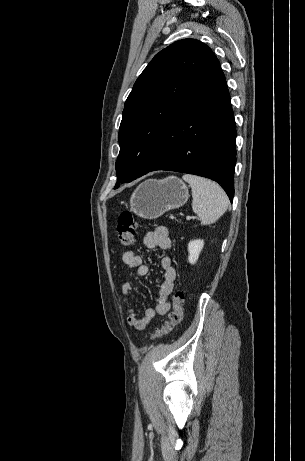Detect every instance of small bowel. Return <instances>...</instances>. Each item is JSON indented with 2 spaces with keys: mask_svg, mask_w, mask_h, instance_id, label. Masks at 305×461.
Here are the masks:
<instances>
[{
  "mask_svg": "<svg viewBox=\"0 0 305 461\" xmlns=\"http://www.w3.org/2000/svg\"><path fill=\"white\" fill-rule=\"evenodd\" d=\"M143 245L147 249H169L171 239L168 229L160 226L148 232L144 237ZM122 261L127 268L134 270L136 276L144 277L149 273V265L143 262L141 256L135 250L124 252ZM161 267L163 270V280L159 285L155 308L146 309L144 315L141 317L133 307L127 309V324L132 328L143 330L152 323L157 315H165L170 309V294L175 285L176 270L171 258L168 256H164L161 259ZM122 292L125 296H131L134 292L132 283L125 282L122 286Z\"/></svg>",
  "mask_w": 305,
  "mask_h": 461,
  "instance_id": "1",
  "label": "small bowel"
}]
</instances>
